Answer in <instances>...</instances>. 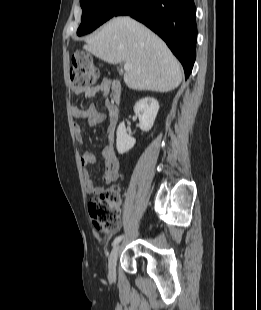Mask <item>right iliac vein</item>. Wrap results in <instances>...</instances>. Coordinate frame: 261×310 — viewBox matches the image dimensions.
<instances>
[{"mask_svg": "<svg viewBox=\"0 0 261 310\" xmlns=\"http://www.w3.org/2000/svg\"><path fill=\"white\" fill-rule=\"evenodd\" d=\"M120 253V245L114 246L112 249L110 256H109V262H108V268H109V276L114 279L115 278V267H116V262L118 259Z\"/></svg>", "mask_w": 261, "mask_h": 310, "instance_id": "obj_1", "label": "right iliac vein"}]
</instances>
